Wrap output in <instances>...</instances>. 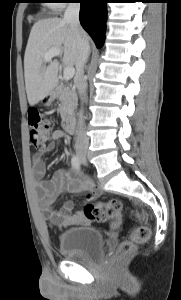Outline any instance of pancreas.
Returning a JSON list of instances; mask_svg holds the SVG:
<instances>
[{
  "label": "pancreas",
  "instance_id": "1",
  "mask_svg": "<svg viewBox=\"0 0 181 300\" xmlns=\"http://www.w3.org/2000/svg\"><path fill=\"white\" fill-rule=\"evenodd\" d=\"M57 96L60 101L59 112L62 119L72 115L77 103L75 88L71 85H59L57 87Z\"/></svg>",
  "mask_w": 181,
  "mask_h": 300
}]
</instances>
